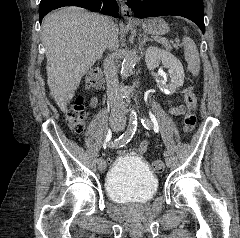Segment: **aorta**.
Returning <instances> with one entry per match:
<instances>
[{"label":"aorta","instance_id":"1","mask_svg":"<svg viewBox=\"0 0 240 238\" xmlns=\"http://www.w3.org/2000/svg\"><path fill=\"white\" fill-rule=\"evenodd\" d=\"M137 62V53L135 50H129L122 61L121 65V77L122 79H126L129 74L132 72L135 64Z\"/></svg>","mask_w":240,"mask_h":238}]
</instances>
